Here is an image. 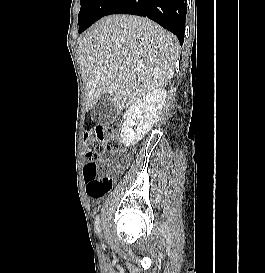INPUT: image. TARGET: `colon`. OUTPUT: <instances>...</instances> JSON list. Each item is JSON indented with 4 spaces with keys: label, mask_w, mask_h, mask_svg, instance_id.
I'll list each match as a JSON object with an SVG mask.
<instances>
[{
    "label": "colon",
    "mask_w": 265,
    "mask_h": 273,
    "mask_svg": "<svg viewBox=\"0 0 265 273\" xmlns=\"http://www.w3.org/2000/svg\"><path fill=\"white\" fill-rule=\"evenodd\" d=\"M119 126L120 123L118 121H112L107 125H97L93 132L85 133V139L88 142L85 156L88 162L84 166L83 173L89 196L103 198L112 189L113 180L111 177L98 178L99 168L96 160L103 149L110 147ZM127 164V154H120L117 158V168L122 170Z\"/></svg>",
    "instance_id": "colon-1"
}]
</instances>
